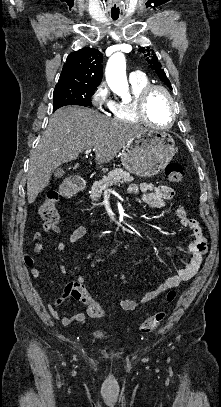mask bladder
<instances>
[{"label": "bladder", "instance_id": "1", "mask_svg": "<svg viewBox=\"0 0 221 407\" xmlns=\"http://www.w3.org/2000/svg\"><path fill=\"white\" fill-rule=\"evenodd\" d=\"M93 337L98 338V339H105L107 338V332L104 330L96 329L92 333Z\"/></svg>", "mask_w": 221, "mask_h": 407}]
</instances>
